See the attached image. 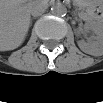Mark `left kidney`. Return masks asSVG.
<instances>
[{
    "mask_svg": "<svg viewBox=\"0 0 103 103\" xmlns=\"http://www.w3.org/2000/svg\"><path fill=\"white\" fill-rule=\"evenodd\" d=\"M86 29H90L94 32V35L90 38V41L84 40L78 41L79 48L87 54H96L102 51L103 47V28L101 25L95 23H86Z\"/></svg>",
    "mask_w": 103,
    "mask_h": 103,
    "instance_id": "5707ae66",
    "label": "left kidney"
}]
</instances>
